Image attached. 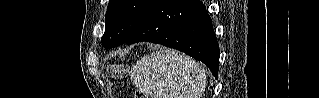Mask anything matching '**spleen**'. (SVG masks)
<instances>
[{
    "instance_id": "spleen-1",
    "label": "spleen",
    "mask_w": 319,
    "mask_h": 98,
    "mask_svg": "<svg viewBox=\"0 0 319 98\" xmlns=\"http://www.w3.org/2000/svg\"><path fill=\"white\" fill-rule=\"evenodd\" d=\"M206 78L202 65L169 49L144 56L131 69L133 84L151 98H200Z\"/></svg>"
}]
</instances>
